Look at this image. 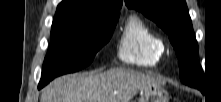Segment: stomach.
Returning <instances> with one entry per match:
<instances>
[{"mask_svg": "<svg viewBox=\"0 0 221 102\" xmlns=\"http://www.w3.org/2000/svg\"><path fill=\"white\" fill-rule=\"evenodd\" d=\"M138 102H168V92L161 86H153L142 91Z\"/></svg>", "mask_w": 221, "mask_h": 102, "instance_id": "1", "label": "stomach"}]
</instances>
